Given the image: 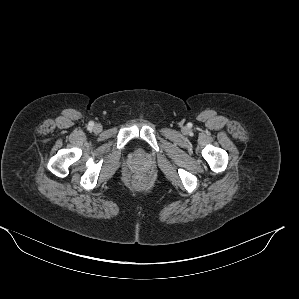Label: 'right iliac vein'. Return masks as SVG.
I'll return each mask as SVG.
<instances>
[{
	"instance_id": "right-iliac-vein-1",
	"label": "right iliac vein",
	"mask_w": 299,
	"mask_h": 299,
	"mask_svg": "<svg viewBox=\"0 0 299 299\" xmlns=\"http://www.w3.org/2000/svg\"><path fill=\"white\" fill-rule=\"evenodd\" d=\"M101 130H102V127L99 124L94 126V131L95 132H101Z\"/></svg>"
}]
</instances>
